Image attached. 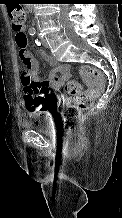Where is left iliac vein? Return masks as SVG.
Segmentation results:
<instances>
[{
    "instance_id": "1",
    "label": "left iliac vein",
    "mask_w": 122,
    "mask_h": 218,
    "mask_svg": "<svg viewBox=\"0 0 122 218\" xmlns=\"http://www.w3.org/2000/svg\"><path fill=\"white\" fill-rule=\"evenodd\" d=\"M41 43L45 48H48V42L45 39H42Z\"/></svg>"
}]
</instances>
